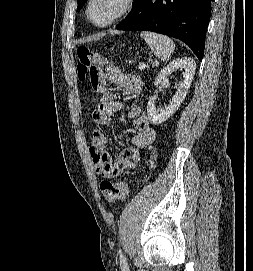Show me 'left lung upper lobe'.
Returning a JSON list of instances; mask_svg holds the SVG:
<instances>
[{
  "instance_id": "1",
  "label": "left lung upper lobe",
  "mask_w": 253,
  "mask_h": 271,
  "mask_svg": "<svg viewBox=\"0 0 253 271\" xmlns=\"http://www.w3.org/2000/svg\"><path fill=\"white\" fill-rule=\"evenodd\" d=\"M77 3H78L77 10H80L84 6V0H77Z\"/></svg>"
}]
</instances>
